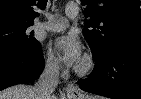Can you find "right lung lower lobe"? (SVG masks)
I'll return each instance as SVG.
<instances>
[{"label": "right lung lower lobe", "instance_id": "obj_1", "mask_svg": "<svg viewBox=\"0 0 141 99\" xmlns=\"http://www.w3.org/2000/svg\"><path fill=\"white\" fill-rule=\"evenodd\" d=\"M44 67L41 47L31 50H0V90L33 82Z\"/></svg>", "mask_w": 141, "mask_h": 99}]
</instances>
